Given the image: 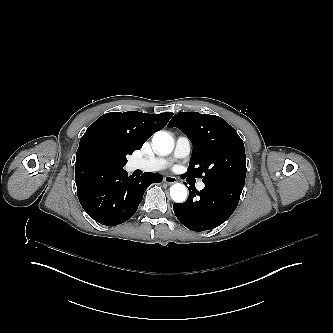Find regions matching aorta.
Instances as JSON below:
<instances>
[{"label": "aorta", "mask_w": 333, "mask_h": 333, "mask_svg": "<svg viewBox=\"0 0 333 333\" xmlns=\"http://www.w3.org/2000/svg\"><path fill=\"white\" fill-rule=\"evenodd\" d=\"M152 143L154 150L161 155H168L174 149L173 138L164 131L156 132ZM170 196L177 203L184 202L187 198V188L183 184L175 183L170 187Z\"/></svg>", "instance_id": "762f6f07"}]
</instances>
